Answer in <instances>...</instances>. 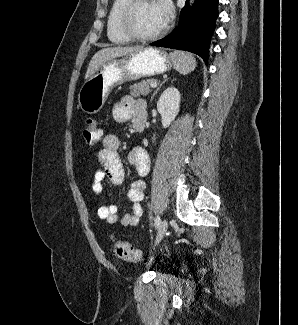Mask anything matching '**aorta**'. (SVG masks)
Segmentation results:
<instances>
[{
  "label": "aorta",
  "mask_w": 298,
  "mask_h": 325,
  "mask_svg": "<svg viewBox=\"0 0 298 325\" xmlns=\"http://www.w3.org/2000/svg\"><path fill=\"white\" fill-rule=\"evenodd\" d=\"M194 0H189V6H192Z\"/></svg>",
  "instance_id": "aorta-1"
}]
</instances>
